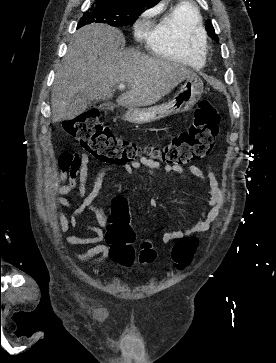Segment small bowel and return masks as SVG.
<instances>
[{
	"label": "small bowel",
	"instance_id": "1",
	"mask_svg": "<svg viewBox=\"0 0 276 363\" xmlns=\"http://www.w3.org/2000/svg\"><path fill=\"white\" fill-rule=\"evenodd\" d=\"M89 157L85 153L80 152H63L59 157V180L61 185L57 187L60 197L57 199L59 207L72 208L74 206V198L83 197L82 203L77 206L68 219L60 212L61 231L67 232L69 225L74 228H82L92 233V236L81 237L76 235L67 236L65 241L71 245H92L91 248L84 252L74 253V258L80 262L91 261L94 266L102 264L108 256V248L101 244L104 239L103 228L107 226L109 215L105 210L94 204L103 186L104 179L108 174L115 172L114 168L102 169L93 184L90 192L86 191V182L88 179ZM161 167L160 163L150 157H142L139 161L126 163L123 169L127 174H132L134 170L145 168L151 174L156 175L157 170ZM166 173L183 174L184 168L178 165H165L163 167ZM209 177L207 178L203 172L196 166H190L189 170L201 182L208 187V197L202 205L201 214L197 221L192 225L166 231L161 238L163 244H168L176 239L197 233L206 232L210 229L212 223L219 216L220 210L225 200V194L220 187L211 166H208ZM70 196L71 198H67ZM125 202L120 196L113 199L115 209L124 207ZM91 212L98 221V226L83 223L80 220L82 214Z\"/></svg>",
	"mask_w": 276,
	"mask_h": 363
}]
</instances>
